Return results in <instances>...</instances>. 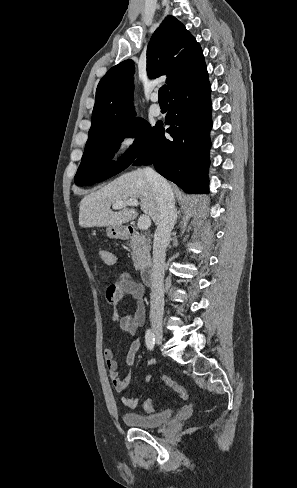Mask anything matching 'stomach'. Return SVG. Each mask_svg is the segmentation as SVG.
I'll return each mask as SVG.
<instances>
[{
    "mask_svg": "<svg viewBox=\"0 0 297 488\" xmlns=\"http://www.w3.org/2000/svg\"><path fill=\"white\" fill-rule=\"evenodd\" d=\"M106 231L109 238L125 240L128 237L127 229L124 226H109Z\"/></svg>",
    "mask_w": 297,
    "mask_h": 488,
    "instance_id": "stomach-1",
    "label": "stomach"
}]
</instances>
